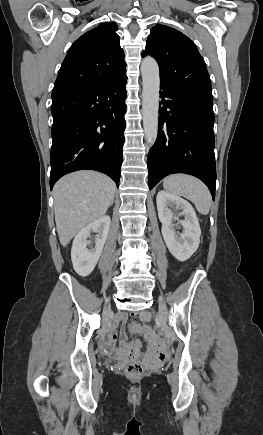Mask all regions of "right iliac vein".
<instances>
[{"label":"right iliac vein","instance_id":"1","mask_svg":"<svg viewBox=\"0 0 263 435\" xmlns=\"http://www.w3.org/2000/svg\"><path fill=\"white\" fill-rule=\"evenodd\" d=\"M108 309H109V307H107V308L105 309V313L107 312Z\"/></svg>","mask_w":263,"mask_h":435}]
</instances>
